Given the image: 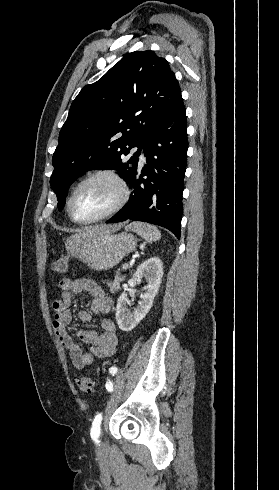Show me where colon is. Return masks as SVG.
<instances>
[{"instance_id": "obj_1", "label": "colon", "mask_w": 279, "mask_h": 490, "mask_svg": "<svg viewBox=\"0 0 279 490\" xmlns=\"http://www.w3.org/2000/svg\"><path fill=\"white\" fill-rule=\"evenodd\" d=\"M69 259L66 256H60L52 262V270L56 274L65 275L68 270ZM78 389L81 393L92 394L94 390V381L89 375H81L76 379Z\"/></svg>"}]
</instances>
